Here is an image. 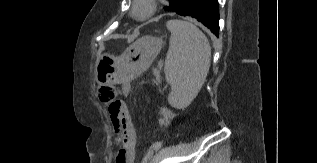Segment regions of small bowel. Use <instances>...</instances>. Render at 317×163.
<instances>
[{
  "instance_id": "1",
  "label": "small bowel",
  "mask_w": 317,
  "mask_h": 163,
  "mask_svg": "<svg viewBox=\"0 0 317 163\" xmlns=\"http://www.w3.org/2000/svg\"><path fill=\"white\" fill-rule=\"evenodd\" d=\"M123 89L128 92L130 89V84L128 82L122 83ZM125 116L120 121L119 126L117 121L111 117L113 126L118 135L117 143L120 146L116 156L115 163H131L134 157V151L136 146V134L133 123L124 105Z\"/></svg>"
}]
</instances>
